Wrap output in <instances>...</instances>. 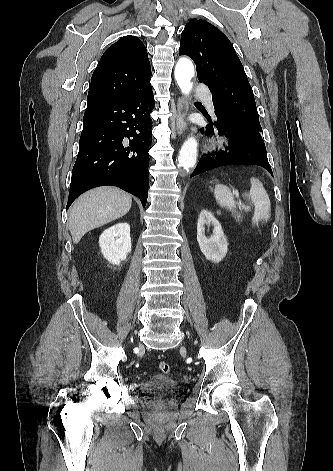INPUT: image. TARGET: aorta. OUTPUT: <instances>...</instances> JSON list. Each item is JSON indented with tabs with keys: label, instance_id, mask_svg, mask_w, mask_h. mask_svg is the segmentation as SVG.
<instances>
[{
	"label": "aorta",
	"instance_id": "1",
	"mask_svg": "<svg viewBox=\"0 0 333 471\" xmlns=\"http://www.w3.org/2000/svg\"><path fill=\"white\" fill-rule=\"evenodd\" d=\"M195 71L191 60L187 58H180L175 66L174 75L175 80L185 95H189L193 88L192 78ZM198 144L194 137L188 138L182 145L178 157V166L185 170L192 168L197 160Z\"/></svg>",
	"mask_w": 333,
	"mask_h": 471
}]
</instances>
